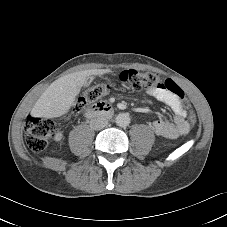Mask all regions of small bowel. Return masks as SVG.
I'll use <instances>...</instances> for the list:
<instances>
[{
  "label": "small bowel",
  "instance_id": "1",
  "mask_svg": "<svg viewBox=\"0 0 227 227\" xmlns=\"http://www.w3.org/2000/svg\"><path fill=\"white\" fill-rule=\"evenodd\" d=\"M146 95L152 96L167 105L174 114L173 121L171 122L158 119L152 123V129L157 135L168 139H175L188 132L189 123L186 119L187 112L175 94L167 89H147ZM55 138L56 140H60L62 134H56Z\"/></svg>",
  "mask_w": 227,
  "mask_h": 227
}]
</instances>
